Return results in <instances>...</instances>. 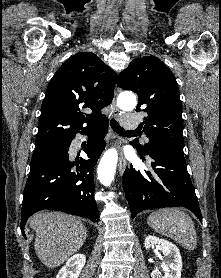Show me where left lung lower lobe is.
<instances>
[{
    "instance_id": "0a47b994",
    "label": "left lung lower lobe",
    "mask_w": 221,
    "mask_h": 278,
    "mask_svg": "<svg viewBox=\"0 0 221 278\" xmlns=\"http://www.w3.org/2000/svg\"><path fill=\"white\" fill-rule=\"evenodd\" d=\"M141 159L145 158L140 153ZM149 170H137L131 165L123 175V187L132 218L146 209L186 207L202 222L194 187L184 159L183 147L158 145L150 148Z\"/></svg>"
}]
</instances>
